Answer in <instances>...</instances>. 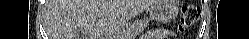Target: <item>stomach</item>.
Segmentation results:
<instances>
[{"label": "stomach", "mask_w": 249, "mask_h": 39, "mask_svg": "<svg viewBox=\"0 0 249 39\" xmlns=\"http://www.w3.org/2000/svg\"><path fill=\"white\" fill-rule=\"evenodd\" d=\"M175 4L174 0H157V2L149 8L150 19L161 23L170 22L175 17ZM112 39H115V37Z\"/></svg>", "instance_id": "obj_1"}]
</instances>
